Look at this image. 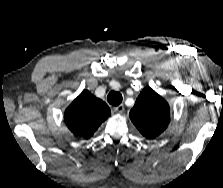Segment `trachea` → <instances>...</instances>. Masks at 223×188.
<instances>
[{
	"label": "trachea",
	"instance_id": "1",
	"mask_svg": "<svg viewBox=\"0 0 223 188\" xmlns=\"http://www.w3.org/2000/svg\"><path fill=\"white\" fill-rule=\"evenodd\" d=\"M122 99H123L122 94L117 91H111L107 97L109 104H111L113 106L120 105L122 102Z\"/></svg>",
	"mask_w": 223,
	"mask_h": 188
}]
</instances>
